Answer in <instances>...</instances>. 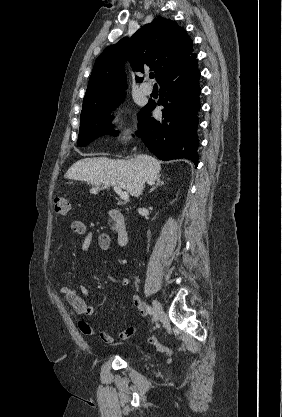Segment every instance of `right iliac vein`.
<instances>
[{
	"label": "right iliac vein",
	"instance_id": "obj_1",
	"mask_svg": "<svg viewBox=\"0 0 282 417\" xmlns=\"http://www.w3.org/2000/svg\"><path fill=\"white\" fill-rule=\"evenodd\" d=\"M161 312H162L161 304L157 300H154L153 301V322H156L159 319Z\"/></svg>",
	"mask_w": 282,
	"mask_h": 417
}]
</instances>
